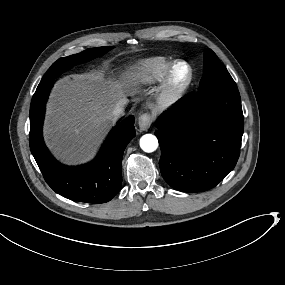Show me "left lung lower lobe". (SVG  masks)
<instances>
[{"label": "left lung lower lobe", "instance_id": "0a47b994", "mask_svg": "<svg viewBox=\"0 0 285 285\" xmlns=\"http://www.w3.org/2000/svg\"><path fill=\"white\" fill-rule=\"evenodd\" d=\"M156 126L165 181L183 192L209 190L239 158L244 117L237 86L211 87L163 112Z\"/></svg>", "mask_w": 285, "mask_h": 285}]
</instances>
